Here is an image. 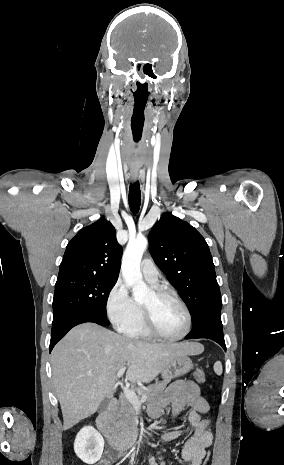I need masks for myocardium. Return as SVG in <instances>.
I'll return each instance as SVG.
<instances>
[{"instance_id": "f54148a6", "label": "myocardium", "mask_w": 284, "mask_h": 465, "mask_svg": "<svg viewBox=\"0 0 284 465\" xmlns=\"http://www.w3.org/2000/svg\"><path fill=\"white\" fill-rule=\"evenodd\" d=\"M154 294L157 299H167L175 302L184 312L185 317H186V327L184 332L177 336V337H164L160 334H158L154 328L153 322H154V316L153 312L149 308L142 307V314L144 321H142V326L148 336L153 338L154 340L160 341V342H166V343H173V342H178L183 340L184 338L187 337L189 334L191 328H192V315L186 304L178 298L176 295L172 294L171 292L165 290V289H156L154 291Z\"/></svg>"}]
</instances>
